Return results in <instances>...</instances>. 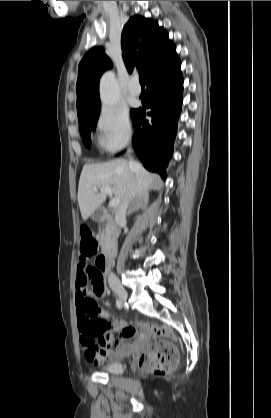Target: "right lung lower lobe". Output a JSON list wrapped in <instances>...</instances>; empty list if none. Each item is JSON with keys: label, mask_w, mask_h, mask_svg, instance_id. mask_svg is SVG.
<instances>
[{"label": "right lung lower lobe", "mask_w": 271, "mask_h": 418, "mask_svg": "<svg viewBox=\"0 0 271 418\" xmlns=\"http://www.w3.org/2000/svg\"><path fill=\"white\" fill-rule=\"evenodd\" d=\"M180 60L155 74L147 81V108L152 117L145 120V107L135 109L133 145L143 165L166 178L165 168L173 153L177 121L181 111L183 76Z\"/></svg>", "instance_id": "1"}]
</instances>
